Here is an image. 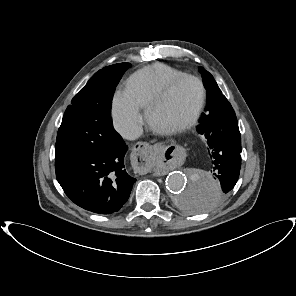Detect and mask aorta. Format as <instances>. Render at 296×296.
Segmentation results:
<instances>
[{
	"instance_id": "aorta-1",
	"label": "aorta",
	"mask_w": 296,
	"mask_h": 296,
	"mask_svg": "<svg viewBox=\"0 0 296 296\" xmlns=\"http://www.w3.org/2000/svg\"><path fill=\"white\" fill-rule=\"evenodd\" d=\"M166 187L173 205L179 211L201 214L215 206L220 186L209 173L185 167L168 175Z\"/></svg>"
}]
</instances>
